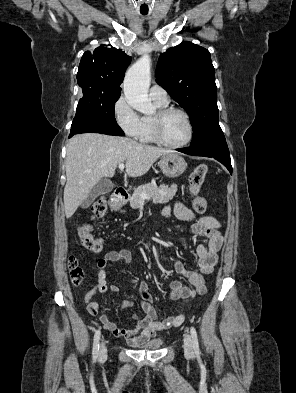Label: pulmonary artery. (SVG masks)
<instances>
[{
	"label": "pulmonary artery",
	"mask_w": 296,
	"mask_h": 393,
	"mask_svg": "<svg viewBox=\"0 0 296 393\" xmlns=\"http://www.w3.org/2000/svg\"><path fill=\"white\" fill-rule=\"evenodd\" d=\"M149 94L153 102L162 105H167L169 102V97L166 90L157 84L151 86Z\"/></svg>",
	"instance_id": "1"
}]
</instances>
